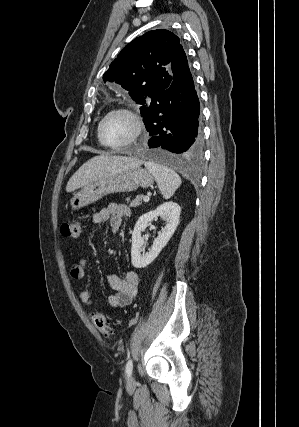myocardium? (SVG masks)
<instances>
[{
	"mask_svg": "<svg viewBox=\"0 0 299 427\" xmlns=\"http://www.w3.org/2000/svg\"><path fill=\"white\" fill-rule=\"evenodd\" d=\"M117 113L124 114L131 120V122L133 124V128H134L133 134L126 142H124L122 144H118V145L107 144L103 141L102 136H101L102 125L108 117H110L113 114H117ZM143 127H144L143 121H142L140 115L134 109H132L130 107H125V106L117 107V108H114V109L108 111L101 118L100 122L98 123V127H97V137H98L99 143L102 146L109 148V149H121V148H125V147L133 144L142 134Z\"/></svg>",
	"mask_w": 299,
	"mask_h": 427,
	"instance_id": "obj_1",
	"label": "myocardium"
}]
</instances>
